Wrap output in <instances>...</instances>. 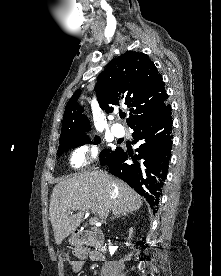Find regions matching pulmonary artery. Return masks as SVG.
Wrapping results in <instances>:
<instances>
[{
  "label": "pulmonary artery",
  "mask_w": 221,
  "mask_h": 276,
  "mask_svg": "<svg viewBox=\"0 0 221 276\" xmlns=\"http://www.w3.org/2000/svg\"><path fill=\"white\" fill-rule=\"evenodd\" d=\"M111 131L117 137H121V136L124 135V128L121 125H119V124H114L111 127Z\"/></svg>",
  "instance_id": "e3ab8cb5"
}]
</instances>
